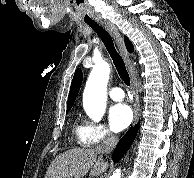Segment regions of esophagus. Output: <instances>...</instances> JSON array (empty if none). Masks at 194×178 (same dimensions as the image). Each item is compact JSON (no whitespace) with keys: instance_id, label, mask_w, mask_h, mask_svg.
I'll use <instances>...</instances> for the list:
<instances>
[{"instance_id":"esophagus-1","label":"esophagus","mask_w":194,"mask_h":178,"mask_svg":"<svg viewBox=\"0 0 194 178\" xmlns=\"http://www.w3.org/2000/svg\"><path fill=\"white\" fill-rule=\"evenodd\" d=\"M100 24L111 34V36L115 39L116 44L118 46V49L120 51L121 56L123 57L126 66L129 70L130 76H131V80H132V86L134 91L136 90V85H137V81H136V76L132 67V63L131 60L129 58V55L127 53L123 38L120 34V32L118 31L117 27L112 24L111 22L108 21H100ZM134 106V111H135V119H134V123H136L138 121V117H139V113H138V109H139V104H138V99H137V95H135V101L133 103Z\"/></svg>"}]
</instances>
